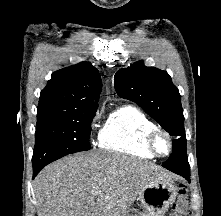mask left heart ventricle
Segmentation results:
<instances>
[{"label": "left heart ventricle", "instance_id": "b2bd125f", "mask_svg": "<svg viewBox=\"0 0 221 216\" xmlns=\"http://www.w3.org/2000/svg\"><path fill=\"white\" fill-rule=\"evenodd\" d=\"M158 148L161 152L167 151V144L163 138L158 139Z\"/></svg>", "mask_w": 221, "mask_h": 216}]
</instances>
